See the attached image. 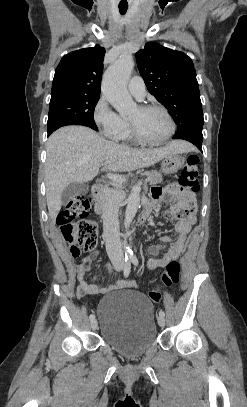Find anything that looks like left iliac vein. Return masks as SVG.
I'll return each mask as SVG.
<instances>
[{
	"mask_svg": "<svg viewBox=\"0 0 247 407\" xmlns=\"http://www.w3.org/2000/svg\"><path fill=\"white\" fill-rule=\"evenodd\" d=\"M158 324L159 326L163 327L165 325V319L163 316L158 317Z\"/></svg>",
	"mask_w": 247,
	"mask_h": 407,
	"instance_id": "obj_1",
	"label": "left iliac vein"
}]
</instances>
